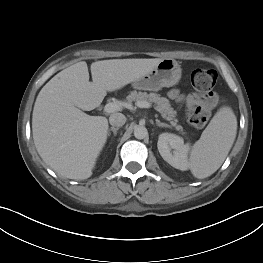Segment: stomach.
I'll return each mask as SVG.
<instances>
[{
	"label": "stomach",
	"instance_id": "0dacf381",
	"mask_svg": "<svg viewBox=\"0 0 263 263\" xmlns=\"http://www.w3.org/2000/svg\"><path fill=\"white\" fill-rule=\"evenodd\" d=\"M181 67L172 58L162 59L149 73L133 82L138 90L158 91L163 87H172L181 79Z\"/></svg>",
	"mask_w": 263,
	"mask_h": 263
}]
</instances>
